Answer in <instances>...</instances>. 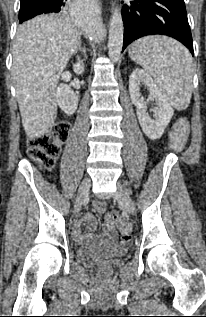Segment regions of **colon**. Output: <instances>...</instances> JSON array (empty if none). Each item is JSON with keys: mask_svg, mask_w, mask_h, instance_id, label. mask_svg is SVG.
Masks as SVG:
<instances>
[{"mask_svg": "<svg viewBox=\"0 0 206 317\" xmlns=\"http://www.w3.org/2000/svg\"><path fill=\"white\" fill-rule=\"evenodd\" d=\"M70 125L65 120L56 122L47 133L29 139L28 154L42 168L50 169L53 167L56 158L60 154L61 146L69 136ZM189 133V123L184 117L179 118L173 127L170 136V148L174 151H181L185 147ZM94 209L98 213H105L106 205L102 202H96ZM107 222L117 226L123 235H130V225L124 221L116 212L107 215Z\"/></svg>", "mask_w": 206, "mask_h": 317, "instance_id": "colon-1", "label": "colon"}]
</instances>
